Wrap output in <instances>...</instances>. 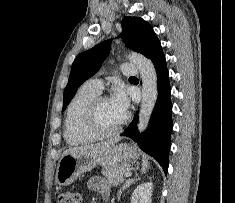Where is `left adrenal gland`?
<instances>
[{
	"label": "left adrenal gland",
	"mask_w": 235,
	"mask_h": 203,
	"mask_svg": "<svg viewBox=\"0 0 235 203\" xmlns=\"http://www.w3.org/2000/svg\"><path fill=\"white\" fill-rule=\"evenodd\" d=\"M137 173H135V177L134 178H129L128 180L125 181V183L123 184V186L120 188L119 192H118V201L120 200L121 194L122 192L128 188L130 185L134 184L135 182H137L139 180V178L137 177Z\"/></svg>",
	"instance_id": "a2214340"
}]
</instances>
